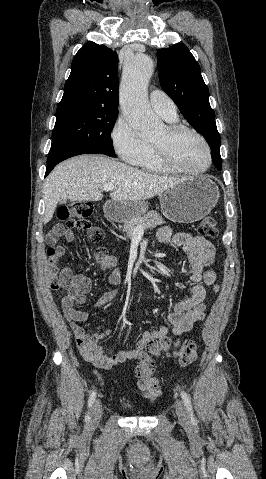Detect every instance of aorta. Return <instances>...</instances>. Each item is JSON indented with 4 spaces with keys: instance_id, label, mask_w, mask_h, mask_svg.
I'll return each instance as SVG.
<instances>
[{
    "instance_id": "1",
    "label": "aorta",
    "mask_w": 266,
    "mask_h": 479,
    "mask_svg": "<svg viewBox=\"0 0 266 479\" xmlns=\"http://www.w3.org/2000/svg\"><path fill=\"white\" fill-rule=\"evenodd\" d=\"M152 72L151 58L138 54L125 63L120 86L123 116L134 131L141 135L151 134L161 126V121L152 112L146 95Z\"/></svg>"
}]
</instances>
